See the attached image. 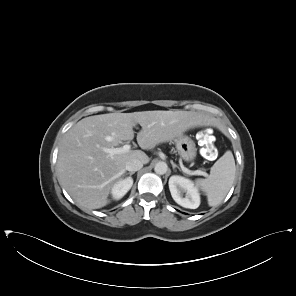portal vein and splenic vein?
<instances>
[{
	"label": "portal vein and splenic vein",
	"mask_w": 296,
	"mask_h": 296,
	"mask_svg": "<svg viewBox=\"0 0 296 296\" xmlns=\"http://www.w3.org/2000/svg\"><path fill=\"white\" fill-rule=\"evenodd\" d=\"M130 149H131V145L126 144L123 147H119V148H105L104 151L106 153H108L110 156H113L115 154L126 153ZM183 170H184V172H186L187 174H190V175H202V176H205V177L208 176V174L206 172L201 171V170L190 171V170H188L186 168H184Z\"/></svg>",
	"instance_id": "18ae733b"
}]
</instances>
